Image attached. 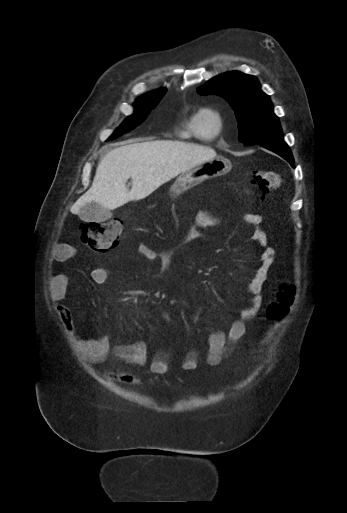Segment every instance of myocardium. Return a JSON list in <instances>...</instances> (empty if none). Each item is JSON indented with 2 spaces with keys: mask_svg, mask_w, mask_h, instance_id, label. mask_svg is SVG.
I'll use <instances>...</instances> for the list:
<instances>
[{
  "mask_svg": "<svg viewBox=\"0 0 347 513\" xmlns=\"http://www.w3.org/2000/svg\"><path fill=\"white\" fill-rule=\"evenodd\" d=\"M204 118H210L214 121L215 127L210 132H204L202 127V121ZM224 116L222 112L213 107H203L198 110L197 118H196V127L197 130L206 138L212 139L217 137L224 128Z\"/></svg>",
  "mask_w": 347,
  "mask_h": 513,
  "instance_id": "myocardium-1",
  "label": "myocardium"
}]
</instances>
